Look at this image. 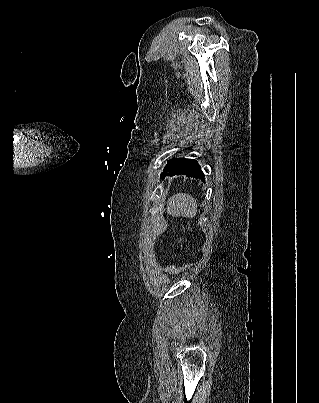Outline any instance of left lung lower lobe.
Returning <instances> with one entry per match:
<instances>
[{"label": "left lung lower lobe", "instance_id": "obj_1", "mask_svg": "<svg viewBox=\"0 0 319 403\" xmlns=\"http://www.w3.org/2000/svg\"><path fill=\"white\" fill-rule=\"evenodd\" d=\"M166 175H186L194 178H202L204 181V173L201 171V167L196 160L173 158L164 172L161 173V177Z\"/></svg>", "mask_w": 319, "mask_h": 403}]
</instances>
